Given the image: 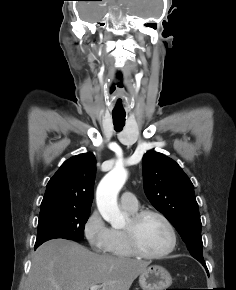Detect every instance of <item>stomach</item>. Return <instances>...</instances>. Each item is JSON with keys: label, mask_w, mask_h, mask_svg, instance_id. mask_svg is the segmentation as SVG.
I'll return each instance as SVG.
<instances>
[{"label": "stomach", "mask_w": 236, "mask_h": 290, "mask_svg": "<svg viewBox=\"0 0 236 290\" xmlns=\"http://www.w3.org/2000/svg\"><path fill=\"white\" fill-rule=\"evenodd\" d=\"M139 284L143 290H166L172 284V277L165 268L152 265L139 275Z\"/></svg>", "instance_id": "1"}]
</instances>
